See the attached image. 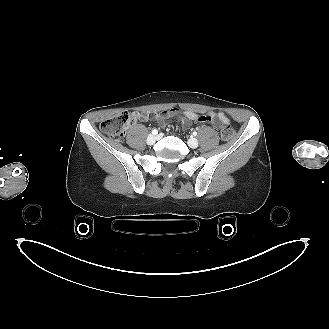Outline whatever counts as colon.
Listing matches in <instances>:
<instances>
[{
  "label": "colon",
  "mask_w": 329,
  "mask_h": 329,
  "mask_svg": "<svg viewBox=\"0 0 329 329\" xmlns=\"http://www.w3.org/2000/svg\"><path fill=\"white\" fill-rule=\"evenodd\" d=\"M136 120L134 114L130 112H122L114 117L105 119L100 128L102 132L115 140H122L126 134V129ZM221 136L225 140H229L234 136V130L229 124H225L221 130Z\"/></svg>",
  "instance_id": "5ec220e1"
}]
</instances>
